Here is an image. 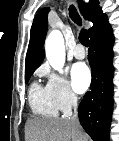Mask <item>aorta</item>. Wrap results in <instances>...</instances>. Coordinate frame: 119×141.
I'll return each mask as SVG.
<instances>
[{"instance_id": "762f6f07", "label": "aorta", "mask_w": 119, "mask_h": 141, "mask_svg": "<svg viewBox=\"0 0 119 141\" xmlns=\"http://www.w3.org/2000/svg\"><path fill=\"white\" fill-rule=\"evenodd\" d=\"M46 58L50 65L60 73L65 63V45L60 31L53 30L45 42Z\"/></svg>"}]
</instances>
